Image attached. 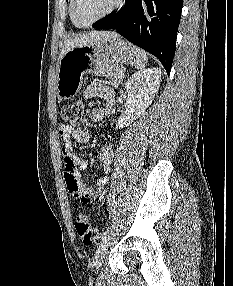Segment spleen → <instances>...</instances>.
Here are the masks:
<instances>
[{
  "mask_svg": "<svg viewBox=\"0 0 233 286\" xmlns=\"http://www.w3.org/2000/svg\"><path fill=\"white\" fill-rule=\"evenodd\" d=\"M134 50L136 55V67L138 69H143L148 62L147 53L138 47H134Z\"/></svg>",
  "mask_w": 233,
  "mask_h": 286,
  "instance_id": "obj_1",
  "label": "spleen"
}]
</instances>
